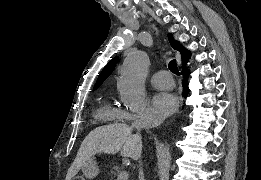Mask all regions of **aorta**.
Returning a JSON list of instances; mask_svg holds the SVG:
<instances>
[{"label": "aorta", "instance_id": "aorta-1", "mask_svg": "<svg viewBox=\"0 0 261 180\" xmlns=\"http://www.w3.org/2000/svg\"><path fill=\"white\" fill-rule=\"evenodd\" d=\"M149 64V57L143 51L128 53L123 62L117 87L122 103L131 111L145 108V78Z\"/></svg>", "mask_w": 261, "mask_h": 180}]
</instances>
